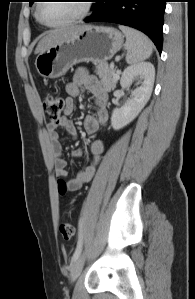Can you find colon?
<instances>
[{"label": "colon", "mask_w": 195, "mask_h": 299, "mask_svg": "<svg viewBox=\"0 0 195 299\" xmlns=\"http://www.w3.org/2000/svg\"><path fill=\"white\" fill-rule=\"evenodd\" d=\"M65 106V101L61 96L46 93L42 100V107L51 122L57 123L61 120L62 112ZM58 189L60 194H65L68 191L67 183L64 180H59ZM75 227L71 222H63L60 225V233L65 239H69L74 235Z\"/></svg>", "instance_id": "5ec220e1"}]
</instances>
